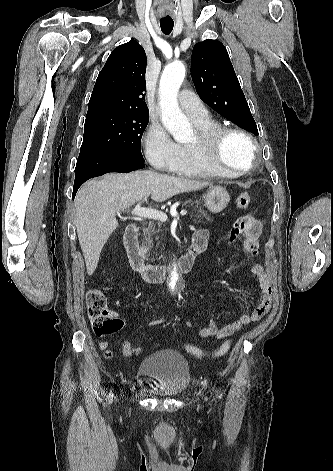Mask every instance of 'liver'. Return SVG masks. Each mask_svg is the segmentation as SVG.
<instances>
[{
	"label": "liver",
	"instance_id": "liver-1",
	"mask_svg": "<svg viewBox=\"0 0 333 471\" xmlns=\"http://www.w3.org/2000/svg\"><path fill=\"white\" fill-rule=\"evenodd\" d=\"M209 182L195 181L155 171L109 173L86 182L75 198V226L88 275L97 267L103 246L118 227L116 213L152 193V200L164 202L183 192L199 190Z\"/></svg>",
	"mask_w": 333,
	"mask_h": 471
}]
</instances>
